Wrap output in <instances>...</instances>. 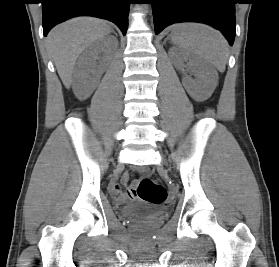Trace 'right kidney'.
Instances as JSON below:
<instances>
[{
  "instance_id": "1",
  "label": "right kidney",
  "mask_w": 279,
  "mask_h": 267,
  "mask_svg": "<svg viewBox=\"0 0 279 267\" xmlns=\"http://www.w3.org/2000/svg\"><path fill=\"white\" fill-rule=\"evenodd\" d=\"M112 41L110 43L107 39H100L90 45L83 53L77 66L74 83V92L79 99H86L93 92L95 88L93 75L102 71V68H97L98 66L96 65L98 54L103 49H116L118 41L115 37L112 38Z\"/></svg>"
}]
</instances>
